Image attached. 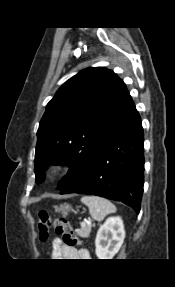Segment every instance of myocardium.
Wrapping results in <instances>:
<instances>
[{
	"label": "myocardium",
	"mask_w": 175,
	"mask_h": 287,
	"mask_svg": "<svg viewBox=\"0 0 175 287\" xmlns=\"http://www.w3.org/2000/svg\"><path fill=\"white\" fill-rule=\"evenodd\" d=\"M65 169L66 163L64 161H55L48 166L46 174L47 176L54 178L61 175L65 171Z\"/></svg>",
	"instance_id": "myocardium-1"
}]
</instances>
